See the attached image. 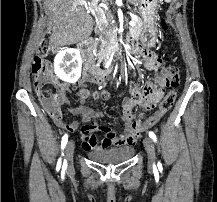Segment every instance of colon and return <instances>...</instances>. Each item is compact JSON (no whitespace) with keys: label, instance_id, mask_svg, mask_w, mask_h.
I'll return each mask as SVG.
<instances>
[{"label":"colon","instance_id":"colon-1","mask_svg":"<svg viewBox=\"0 0 217 202\" xmlns=\"http://www.w3.org/2000/svg\"><path fill=\"white\" fill-rule=\"evenodd\" d=\"M160 27L163 31L168 30V26L164 18L160 19ZM51 41H55V36H42V41H40V46H51ZM36 54H47V49H36ZM52 59H46V55H37L32 64V73L35 76V89L39 94L40 103H44L47 110L52 112L49 115L50 119H58L62 117V112L58 109L62 107L61 103H67V98H64V93H55V91H65V86H55L61 85V80H52V73H56V64L52 63ZM154 78L157 82V87H147V88H158L164 85H179L181 79V68L179 66H168L158 71L154 74ZM147 79V78H146ZM137 95H150V96H134L137 103L141 106L142 102H148V107L151 102H158V99H162L160 95V90H137ZM176 100V93L171 91L168 96V100H163V106L160 107L156 113H154V118H148L143 122V127L141 130L144 132L148 128L154 126L160 118L172 107ZM142 107V106H141ZM56 128H66L71 133H77L79 130L76 126L69 123H56ZM93 128L92 125H87L81 128L82 132L90 131Z\"/></svg>","mask_w":217,"mask_h":202}]
</instances>
